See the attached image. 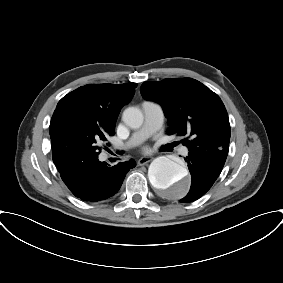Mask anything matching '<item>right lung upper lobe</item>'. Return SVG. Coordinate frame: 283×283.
Returning <instances> with one entry per match:
<instances>
[{
    "mask_svg": "<svg viewBox=\"0 0 283 283\" xmlns=\"http://www.w3.org/2000/svg\"><path fill=\"white\" fill-rule=\"evenodd\" d=\"M136 87V83L90 84L79 87L59 101L49 128L52 158L57 168L64 165L59 161V156L64 145V125L68 117L94 121L103 129L114 132L120 110L131 101Z\"/></svg>",
    "mask_w": 283,
    "mask_h": 283,
    "instance_id": "1",
    "label": "right lung upper lobe"
}]
</instances>
